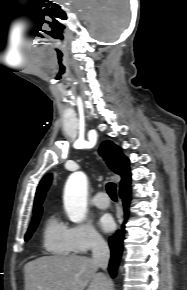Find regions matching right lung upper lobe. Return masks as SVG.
<instances>
[{
	"instance_id": "cb5924a9",
	"label": "right lung upper lobe",
	"mask_w": 187,
	"mask_h": 290,
	"mask_svg": "<svg viewBox=\"0 0 187 290\" xmlns=\"http://www.w3.org/2000/svg\"><path fill=\"white\" fill-rule=\"evenodd\" d=\"M99 154L103 157L108 167L122 177L120 193L130 192L131 173L129 170V160L122 154L121 148L111 141H104L99 149ZM51 179V174H48L41 180L37 188L34 201L33 220L42 213L41 204L50 185Z\"/></svg>"
}]
</instances>
